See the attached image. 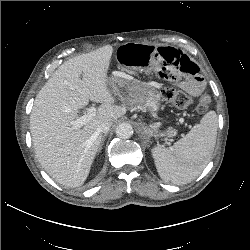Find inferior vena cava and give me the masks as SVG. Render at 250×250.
Wrapping results in <instances>:
<instances>
[{
  "instance_id": "602c4592",
  "label": "inferior vena cava",
  "mask_w": 250,
  "mask_h": 250,
  "mask_svg": "<svg viewBox=\"0 0 250 250\" xmlns=\"http://www.w3.org/2000/svg\"><path fill=\"white\" fill-rule=\"evenodd\" d=\"M112 122L110 121H104L101 122L100 125L98 126V131L100 133H107L111 127Z\"/></svg>"
}]
</instances>
